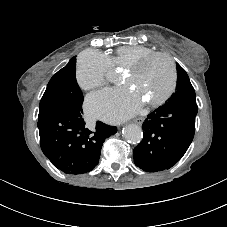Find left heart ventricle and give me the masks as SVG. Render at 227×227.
Returning <instances> with one entry per match:
<instances>
[{
  "label": "left heart ventricle",
  "mask_w": 227,
  "mask_h": 227,
  "mask_svg": "<svg viewBox=\"0 0 227 227\" xmlns=\"http://www.w3.org/2000/svg\"><path fill=\"white\" fill-rule=\"evenodd\" d=\"M171 81V66L163 57L153 59L138 73H127L124 76V83L134 88L136 95L145 102L164 94Z\"/></svg>",
  "instance_id": "left-heart-ventricle-1"
}]
</instances>
